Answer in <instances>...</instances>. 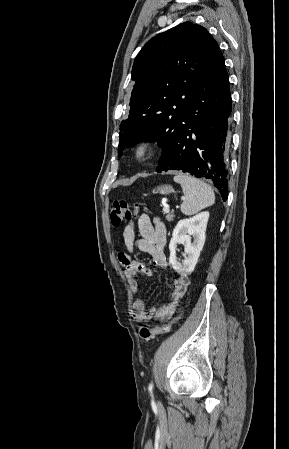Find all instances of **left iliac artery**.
<instances>
[{
  "mask_svg": "<svg viewBox=\"0 0 289 449\" xmlns=\"http://www.w3.org/2000/svg\"><path fill=\"white\" fill-rule=\"evenodd\" d=\"M149 389H150V390H152V389H153V384H152V383H150V385H149Z\"/></svg>",
  "mask_w": 289,
  "mask_h": 449,
  "instance_id": "44dca946",
  "label": "left iliac artery"
}]
</instances>
